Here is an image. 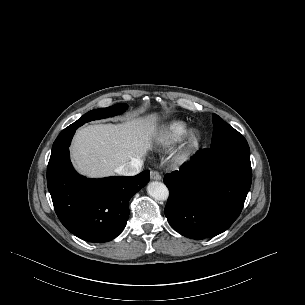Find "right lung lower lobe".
Returning a JSON list of instances; mask_svg holds the SVG:
<instances>
[{
  "mask_svg": "<svg viewBox=\"0 0 305 305\" xmlns=\"http://www.w3.org/2000/svg\"><path fill=\"white\" fill-rule=\"evenodd\" d=\"M79 124L65 128L53 143L47 185L61 223L92 243L117 237L129 217V200L149 181L148 170L133 177L87 179L74 170L69 146Z\"/></svg>",
  "mask_w": 305,
  "mask_h": 305,
  "instance_id": "right-lung-lower-lobe-1",
  "label": "right lung lower lobe"
}]
</instances>
